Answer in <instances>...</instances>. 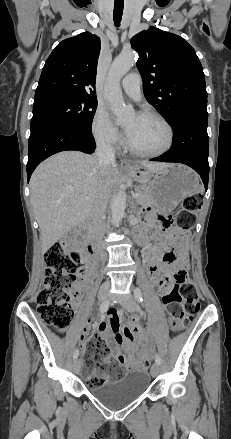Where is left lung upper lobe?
<instances>
[{
	"label": "left lung upper lobe",
	"mask_w": 231,
	"mask_h": 439,
	"mask_svg": "<svg viewBox=\"0 0 231 439\" xmlns=\"http://www.w3.org/2000/svg\"><path fill=\"white\" fill-rule=\"evenodd\" d=\"M131 46L139 53L137 67L147 101L172 127L186 113L207 111L205 75L186 40L150 27L136 34Z\"/></svg>",
	"instance_id": "1"
}]
</instances>
